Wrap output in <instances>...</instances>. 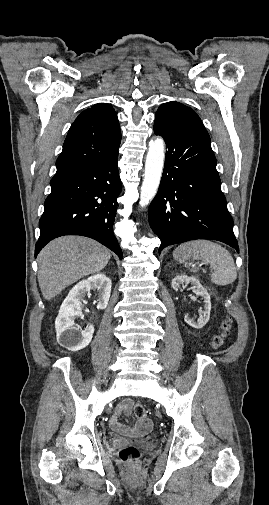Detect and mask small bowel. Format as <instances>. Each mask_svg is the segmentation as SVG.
I'll list each match as a JSON object with an SVG mask.
<instances>
[{
  "instance_id": "small-bowel-1",
  "label": "small bowel",
  "mask_w": 269,
  "mask_h": 505,
  "mask_svg": "<svg viewBox=\"0 0 269 505\" xmlns=\"http://www.w3.org/2000/svg\"><path fill=\"white\" fill-rule=\"evenodd\" d=\"M133 406V401L129 398L124 399L117 407L116 413L110 419L111 429L119 434L127 436H142L148 433L152 428L150 419L144 417L140 418L133 428L127 427L120 423V415L124 412L130 411Z\"/></svg>"
}]
</instances>
